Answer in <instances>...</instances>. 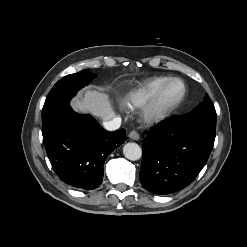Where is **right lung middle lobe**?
<instances>
[{
  "mask_svg": "<svg viewBox=\"0 0 247 247\" xmlns=\"http://www.w3.org/2000/svg\"><path fill=\"white\" fill-rule=\"evenodd\" d=\"M95 74L89 70H82L75 74H70L60 79L49 92L42 110V118L69 106V101L79 89L88 85Z\"/></svg>",
  "mask_w": 247,
  "mask_h": 247,
  "instance_id": "obj_1",
  "label": "right lung middle lobe"
}]
</instances>
